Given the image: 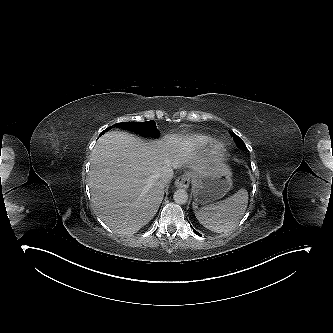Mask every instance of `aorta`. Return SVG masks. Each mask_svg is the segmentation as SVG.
Returning <instances> with one entry per match:
<instances>
[{"label":"aorta","mask_w":333,"mask_h":333,"mask_svg":"<svg viewBox=\"0 0 333 333\" xmlns=\"http://www.w3.org/2000/svg\"><path fill=\"white\" fill-rule=\"evenodd\" d=\"M173 199L177 204H185L188 201V193L184 189H178L175 191Z\"/></svg>","instance_id":"762f6f07"}]
</instances>
